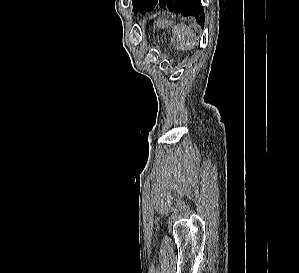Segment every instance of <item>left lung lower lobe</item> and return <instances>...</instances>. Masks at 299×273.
Here are the masks:
<instances>
[{"instance_id": "0a47b994", "label": "left lung lower lobe", "mask_w": 299, "mask_h": 273, "mask_svg": "<svg viewBox=\"0 0 299 273\" xmlns=\"http://www.w3.org/2000/svg\"><path fill=\"white\" fill-rule=\"evenodd\" d=\"M159 7H168L183 16H194L199 25L204 26V10L201 0H146L141 13L151 12Z\"/></svg>"}]
</instances>
